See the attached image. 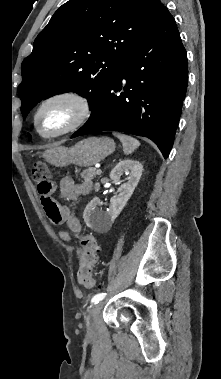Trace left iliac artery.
<instances>
[{"mask_svg":"<svg viewBox=\"0 0 221 379\" xmlns=\"http://www.w3.org/2000/svg\"><path fill=\"white\" fill-rule=\"evenodd\" d=\"M105 296H106V293H98L95 296H93V298L91 299V303L97 304V303H99V301L104 299Z\"/></svg>","mask_w":221,"mask_h":379,"instance_id":"44dca946","label":"left iliac artery"}]
</instances>
